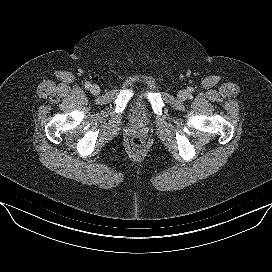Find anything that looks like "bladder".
Listing matches in <instances>:
<instances>
[{
	"mask_svg": "<svg viewBox=\"0 0 272 272\" xmlns=\"http://www.w3.org/2000/svg\"><path fill=\"white\" fill-rule=\"evenodd\" d=\"M131 117L137 122H144L147 119L145 102L141 99H136L131 106Z\"/></svg>",
	"mask_w": 272,
	"mask_h": 272,
	"instance_id": "bladder-1",
	"label": "bladder"
}]
</instances>
